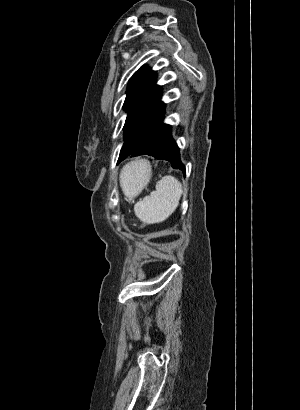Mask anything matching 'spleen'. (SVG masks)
Wrapping results in <instances>:
<instances>
[{
    "mask_svg": "<svg viewBox=\"0 0 300 410\" xmlns=\"http://www.w3.org/2000/svg\"><path fill=\"white\" fill-rule=\"evenodd\" d=\"M144 171L145 167L140 161L132 162L123 167L120 174V185L128 198H132L134 195L131 188L135 174ZM182 193V184L178 179L174 176H164L157 182L156 191L135 204V215L146 224L162 222L175 211Z\"/></svg>",
    "mask_w": 300,
    "mask_h": 410,
    "instance_id": "1",
    "label": "spleen"
}]
</instances>
